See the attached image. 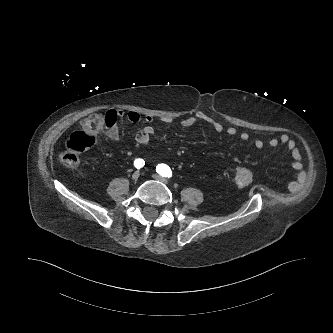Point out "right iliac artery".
Masks as SVG:
<instances>
[{"label": "right iliac artery", "mask_w": 333, "mask_h": 333, "mask_svg": "<svg viewBox=\"0 0 333 333\" xmlns=\"http://www.w3.org/2000/svg\"><path fill=\"white\" fill-rule=\"evenodd\" d=\"M145 165V161L141 158H138L134 161V166L137 168V169H140L142 168L143 166Z\"/></svg>", "instance_id": "obj_1"}]
</instances>
